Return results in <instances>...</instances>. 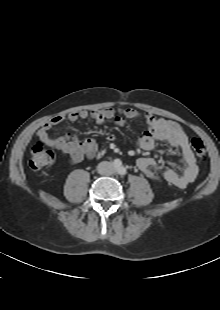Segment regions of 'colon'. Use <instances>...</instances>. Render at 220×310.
<instances>
[{"mask_svg":"<svg viewBox=\"0 0 220 310\" xmlns=\"http://www.w3.org/2000/svg\"><path fill=\"white\" fill-rule=\"evenodd\" d=\"M192 149L195 155L203 159L206 154V149L203 141L199 138H194L191 141ZM54 161V154L51 150L47 149L42 142H36L31 147V156L29 166L32 170H40Z\"/></svg>","mask_w":220,"mask_h":310,"instance_id":"obj_1","label":"colon"}]
</instances>
